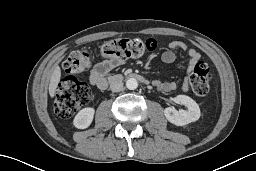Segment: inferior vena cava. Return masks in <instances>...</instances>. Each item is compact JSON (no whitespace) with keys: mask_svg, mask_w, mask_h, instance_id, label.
I'll list each match as a JSON object with an SVG mask.
<instances>
[{"mask_svg":"<svg viewBox=\"0 0 256 171\" xmlns=\"http://www.w3.org/2000/svg\"><path fill=\"white\" fill-rule=\"evenodd\" d=\"M110 89L112 92H120L123 90V82L119 80L111 82Z\"/></svg>","mask_w":256,"mask_h":171,"instance_id":"obj_1","label":"inferior vena cava"}]
</instances>
